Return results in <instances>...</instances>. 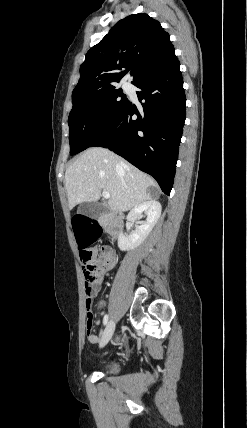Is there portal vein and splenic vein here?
Instances as JSON below:
<instances>
[{"label": "portal vein and splenic vein", "instance_id": "obj_1", "mask_svg": "<svg viewBox=\"0 0 247 428\" xmlns=\"http://www.w3.org/2000/svg\"><path fill=\"white\" fill-rule=\"evenodd\" d=\"M102 195H103V197H104V198H106V199H109V198H110V193H109V192H107V191H103V192H102Z\"/></svg>", "mask_w": 247, "mask_h": 428}]
</instances>
